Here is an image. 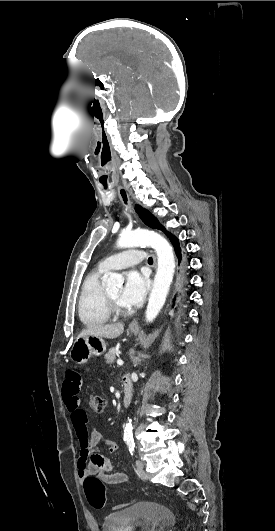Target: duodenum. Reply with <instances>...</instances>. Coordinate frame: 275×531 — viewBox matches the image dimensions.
I'll return each mask as SVG.
<instances>
[{
	"instance_id": "410a0bca",
	"label": "duodenum",
	"mask_w": 275,
	"mask_h": 531,
	"mask_svg": "<svg viewBox=\"0 0 275 531\" xmlns=\"http://www.w3.org/2000/svg\"><path fill=\"white\" fill-rule=\"evenodd\" d=\"M122 384L124 389V396L122 399V406H128L133 398L134 389H133V380L131 376L124 375L122 378Z\"/></svg>"
}]
</instances>
